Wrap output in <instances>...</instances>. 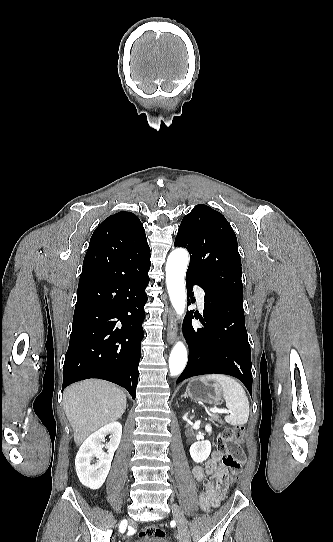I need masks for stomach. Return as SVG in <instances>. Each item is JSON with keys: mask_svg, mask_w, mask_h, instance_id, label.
Returning <instances> with one entry per match:
<instances>
[{"mask_svg": "<svg viewBox=\"0 0 333 542\" xmlns=\"http://www.w3.org/2000/svg\"><path fill=\"white\" fill-rule=\"evenodd\" d=\"M186 394L196 402H205V404H220L223 400L222 392L218 384L205 378H192L188 382Z\"/></svg>", "mask_w": 333, "mask_h": 542, "instance_id": "1", "label": "stomach"}]
</instances>
